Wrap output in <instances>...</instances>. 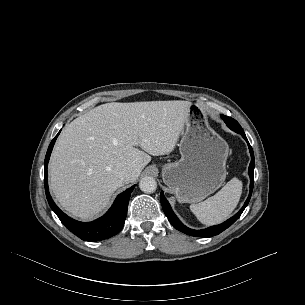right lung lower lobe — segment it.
I'll return each mask as SVG.
<instances>
[{
	"mask_svg": "<svg viewBox=\"0 0 305 305\" xmlns=\"http://www.w3.org/2000/svg\"><path fill=\"white\" fill-rule=\"evenodd\" d=\"M59 133L51 141L46 153L45 163H44L45 193L51 209L55 212V214L58 216L61 222L72 233L80 237L82 240L94 242V241L104 240L116 235L117 233L120 232V230L124 225L125 218L127 215V208H128L130 194L133 191L135 185H133L132 187L128 188L126 191L119 194L115 199L111 208L107 211V213L95 221L82 223L68 217L56 206V204L51 198L48 188V174H47L48 161L50 158L51 151L53 149V145Z\"/></svg>",
	"mask_w": 305,
	"mask_h": 305,
	"instance_id": "1",
	"label": "right lung lower lobe"
}]
</instances>
